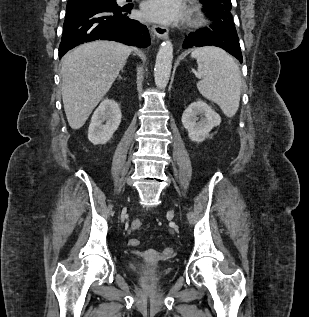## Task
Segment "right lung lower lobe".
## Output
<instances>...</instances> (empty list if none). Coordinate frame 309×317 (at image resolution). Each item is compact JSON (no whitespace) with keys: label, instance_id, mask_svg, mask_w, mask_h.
I'll list each match as a JSON object with an SVG mask.
<instances>
[{"label":"right lung lower lobe","instance_id":"obj_1","mask_svg":"<svg viewBox=\"0 0 309 317\" xmlns=\"http://www.w3.org/2000/svg\"><path fill=\"white\" fill-rule=\"evenodd\" d=\"M132 7L68 0L59 58L75 46L97 39L143 48L150 45L147 27L128 17Z\"/></svg>","mask_w":309,"mask_h":317}]
</instances>
